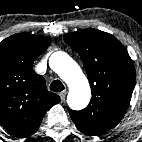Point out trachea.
Returning <instances> with one entry per match:
<instances>
[{"instance_id": "obj_1", "label": "trachea", "mask_w": 142, "mask_h": 142, "mask_svg": "<svg viewBox=\"0 0 142 142\" xmlns=\"http://www.w3.org/2000/svg\"><path fill=\"white\" fill-rule=\"evenodd\" d=\"M50 90L54 92H59L64 90V85L60 80H54L50 85Z\"/></svg>"}]
</instances>
